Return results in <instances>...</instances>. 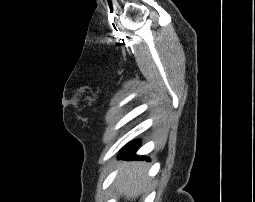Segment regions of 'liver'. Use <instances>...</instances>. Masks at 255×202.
Here are the masks:
<instances>
[{"label": "liver", "mask_w": 255, "mask_h": 202, "mask_svg": "<svg viewBox=\"0 0 255 202\" xmlns=\"http://www.w3.org/2000/svg\"><path fill=\"white\" fill-rule=\"evenodd\" d=\"M146 168L141 162H134L126 166L118 175L115 183L119 194L127 200L135 199L147 185Z\"/></svg>", "instance_id": "1"}]
</instances>
